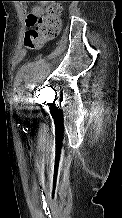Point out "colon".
I'll list each match as a JSON object with an SVG mask.
<instances>
[{
    "instance_id": "obj_1",
    "label": "colon",
    "mask_w": 122,
    "mask_h": 218,
    "mask_svg": "<svg viewBox=\"0 0 122 218\" xmlns=\"http://www.w3.org/2000/svg\"><path fill=\"white\" fill-rule=\"evenodd\" d=\"M25 1H52L42 16L29 13L26 24L30 27L25 33L24 44L29 49L40 48L44 43L57 37L60 31L61 6L53 0H25ZM36 26V29L33 27Z\"/></svg>"
}]
</instances>
